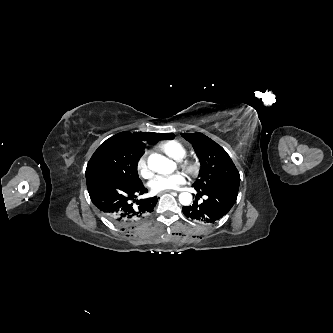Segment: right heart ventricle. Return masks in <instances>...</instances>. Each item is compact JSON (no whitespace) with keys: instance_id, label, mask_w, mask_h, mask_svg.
I'll list each match as a JSON object with an SVG mask.
<instances>
[{"instance_id":"1","label":"right heart ventricle","mask_w":333,"mask_h":333,"mask_svg":"<svg viewBox=\"0 0 333 333\" xmlns=\"http://www.w3.org/2000/svg\"><path fill=\"white\" fill-rule=\"evenodd\" d=\"M159 148L169 157L173 158L174 160H181L183 159L186 154L187 150L184 145L176 140L166 141L159 145Z\"/></svg>"}]
</instances>
